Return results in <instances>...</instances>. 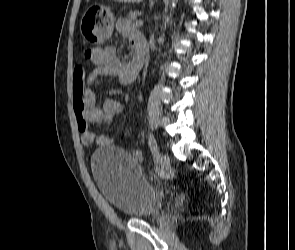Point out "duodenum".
Returning <instances> with one entry per match:
<instances>
[{
  "label": "duodenum",
  "mask_w": 295,
  "mask_h": 250,
  "mask_svg": "<svg viewBox=\"0 0 295 250\" xmlns=\"http://www.w3.org/2000/svg\"><path fill=\"white\" fill-rule=\"evenodd\" d=\"M145 50L143 48H139L137 50V53H136V57H137V67L138 69L141 70L143 64H144V61H145Z\"/></svg>",
  "instance_id": "duodenum-1"
}]
</instances>
